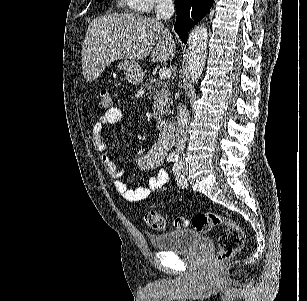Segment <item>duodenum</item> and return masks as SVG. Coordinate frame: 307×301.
<instances>
[{
    "instance_id": "1",
    "label": "duodenum",
    "mask_w": 307,
    "mask_h": 301,
    "mask_svg": "<svg viewBox=\"0 0 307 301\" xmlns=\"http://www.w3.org/2000/svg\"><path fill=\"white\" fill-rule=\"evenodd\" d=\"M158 128L167 134H171L176 129V122L171 117H163L158 121Z\"/></svg>"
}]
</instances>
